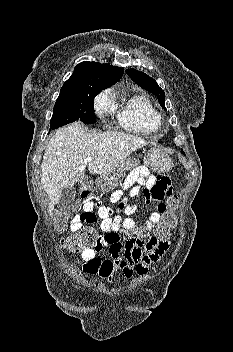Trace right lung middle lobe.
I'll list each match as a JSON object with an SVG mask.
<instances>
[{"mask_svg":"<svg viewBox=\"0 0 233 352\" xmlns=\"http://www.w3.org/2000/svg\"><path fill=\"white\" fill-rule=\"evenodd\" d=\"M103 89L105 88L100 86H86L73 93L60 94L53 109L50 130L76 120L94 123V97Z\"/></svg>","mask_w":233,"mask_h":352,"instance_id":"right-lung-middle-lobe-1","label":"right lung middle lobe"}]
</instances>
